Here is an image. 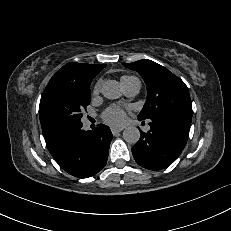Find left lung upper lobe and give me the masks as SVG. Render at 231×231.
I'll return each instance as SVG.
<instances>
[{
  "label": "left lung upper lobe",
  "mask_w": 231,
  "mask_h": 231,
  "mask_svg": "<svg viewBox=\"0 0 231 231\" xmlns=\"http://www.w3.org/2000/svg\"><path fill=\"white\" fill-rule=\"evenodd\" d=\"M123 66L135 70L147 85V100L139 120L151 119L159 113H175L192 117V104L185 83L165 67L148 59Z\"/></svg>",
  "instance_id": "1"
}]
</instances>
